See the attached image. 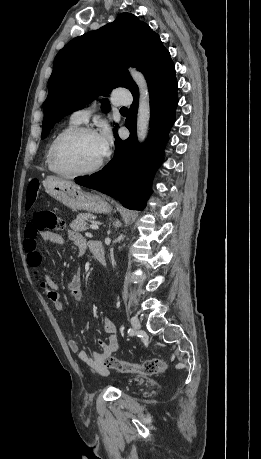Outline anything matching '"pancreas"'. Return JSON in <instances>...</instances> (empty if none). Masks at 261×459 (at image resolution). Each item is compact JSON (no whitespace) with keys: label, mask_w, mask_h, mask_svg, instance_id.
<instances>
[{"label":"pancreas","mask_w":261,"mask_h":459,"mask_svg":"<svg viewBox=\"0 0 261 459\" xmlns=\"http://www.w3.org/2000/svg\"><path fill=\"white\" fill-rule=\"evenodd\" d=\"M94 215L91 213H79L76 219L70 224V228L74 231L82 232L87 230V221H92Z\"/></svg>","instance_id":"pancreas-1"}]
</instances>
